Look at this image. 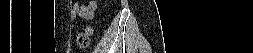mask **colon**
Returning a JSON list of instances; mask_svg holds the SVG:
<instances>
[{
    "instance_id": "obj_1",
    "label": "colon",
    "mask_w": 253,
    "mask_h": 53,
    "mask_svg": "<svg viewBox=\"0 0 253 53\" xmlns=\"http://www.w3.org/2000/svg\"><path fill=\"white\" fill-rule=\"evenodd\" d=\"M92 32V28L88 26L84 31L78 33L76 37V44L78 48L85 49L89 46Z\"/></svg>"
}]
</instances>
